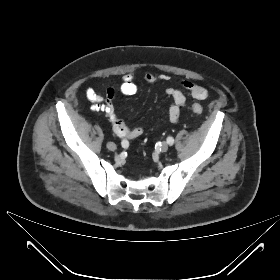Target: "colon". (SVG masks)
I'll list each match as a JSON object with an SVG mask.
<instances>
[{
  "instance_id": "5ec220e1",
  "label": "colon",
  "mask_w": 280,
  "mask_h": 280,
  "mask_svg": "<svg viewBox=\"0 0 280 280\" xmlns=\"http://www.w3.org/2000/svg\"><path fill=\"white\" fill-rule=\"evenodd\" d=\"M192 111H193L194 113L199 114V113H201V112L203 111V107H202L201 105H199V104H194V105L192 106Z\"/></svg>"
}]
</instances>
